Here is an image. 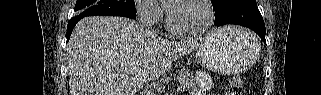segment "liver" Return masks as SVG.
<instances>
[{
    "label": "liver",
    "instance_id": "liver-1",
    "mask_svg": "<svg viewBox=\"0 0 321 95\" xmlns=\"http://www.w3.org/2000/svg\"><path fill=\"white\" fill-rule=\"evenodd\" d=\"M198 44L167 41L128 18H83L66 49L70 95H135Z\"/></svg>",
    "mask_w": 321,
    "mask_h": 95
}]
</instances>
